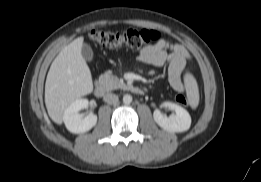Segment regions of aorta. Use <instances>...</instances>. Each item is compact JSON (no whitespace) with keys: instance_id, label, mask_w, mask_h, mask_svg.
Masks as SVG:
<instances>
[{"instance_id":"aorta-1","label":"aorta","mask_w":261,"mask_h":182,"mask_svg":"<svg viewBox=\"0 0 261 182\" xmlns=\"http://www.w3.org/2000/svg\"><path fill=\"white\" fill-rule=\"evenodd\" d=\"M132 100H133V98H132V96L129 95V94H125V95L123 96V102H124V104H130V103L132 102Z\"/></svg>"}]
</instances>
